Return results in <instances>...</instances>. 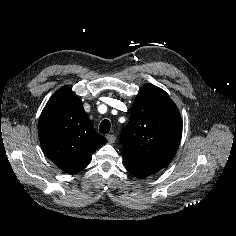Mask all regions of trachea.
Returning <instances> with one entry per match:
<instances>
[{
    "label": "trachea",
    "instance_id": "3493384b",
    "mask_svg": "<svg viewBox=\"0 0 236 236\" xmlns=\"http://www.w3.org/2000/svg\"><path fill=\"white\" fill-rule=\"evenodd\" d=\"M110 122L109 120L105 119L101 122L100 126H99V132L102 134H108L110 131Z\"/></svg>",
    "mask_w": 236,
    "mask_h": 236
}]
</instances>
